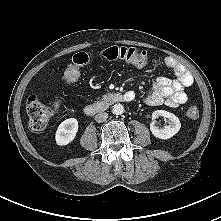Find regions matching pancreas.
Here are the masks:
<instances>
[{
  "label": "pancreas",
  "mask_w": 221,
  "mask_h": 221,
  "mask_svg": "<svg viewBox=\"0 0 221 221\" xmlns=\"http://www.w3.org/2000/svg\"><path fill=\"white\" fill-rule=\"evenodd\" d=\"M112 97H113V94L108 93V94H106V95H103L102 100L106 101V100H108V99H110V98H112Z\"/></svg>",
  "instance_id": "cf45deb5"
}]
</instances>
